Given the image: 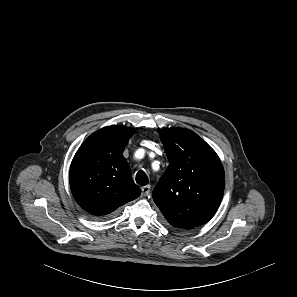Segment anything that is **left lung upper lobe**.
Wrapping results in <instances>:
<instances>
[{
    "instance_id": "left-lung-upper-lobe-1",
    "label": "left lung upper lobe",
    "mask_w": 297,
    "mask_h": 297,
    "mask_svg": "<svg viewBox=\"0 0 297 297\" xmlns=\"http://www.w3.org/2000/svg\"><path fill=\"white\" fill-rule=\"evenodd\" d=\"M170 165L153 190V200L168 223L189 229L208 222L223 197L225 176L216 152L183 128L160 131Z\"/></svg>"
}]
</instances>
